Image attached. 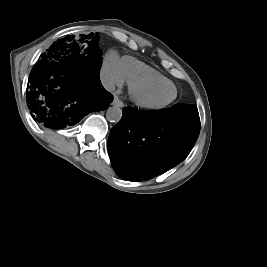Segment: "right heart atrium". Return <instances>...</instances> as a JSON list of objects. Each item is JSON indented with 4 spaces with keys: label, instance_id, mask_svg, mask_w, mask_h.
Returning <instances> with one entry per match:
<instances>
[{
    "label": "right heart atrium",
    "instance_id": "obj_1",
    "mask_svg": "<svg viewBox=\"0 0 267 267\" xmlns=\"http://www.w3.org/2000/svg\"><path fill=\"white\" fill-rule=\"evenodd\" d=\"M101 77L107 88L122 86L124 84L125 79L122 73L121 60H119L115 52L111 51L105 56L101 69Z\"/></svg>",
    "mask_w": 267,
    "mask_h": 267
}]
</instances>
